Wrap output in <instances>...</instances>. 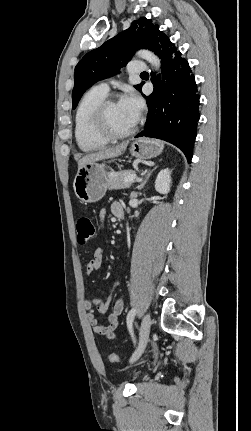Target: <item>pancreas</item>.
<instances>
[{"instance_id": "cf45deb5", "label": "pancreas", "mask_w": 251, "mask_h": 431, "mask_svg": "<svg viewBox=\"0 0 251 431\" xmlns=\"http://www.w3.org/2000/svg\"><path fill=\"white\" fill-rule=\"evenodd\" d=\"M131 174H134L133 171L131 170H124V171H120L118 173L115 172H111L108 174V179H107V187L109 190H114V189H124V188H128L132 185L133 182H124V179L128 176H130Z\"/></svg>"}]
</instances>
